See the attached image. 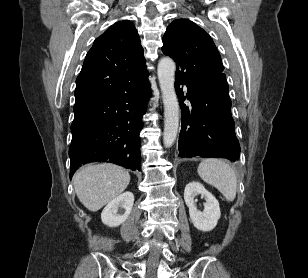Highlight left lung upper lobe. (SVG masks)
<instances>
[{"label": "left lung upper lobe", "mask_w": 308, "mask_h": 278, "mask_svg": "<svg viewBox=\"0 0 308 278\" xmlns=\"http://www.w3.org/2000/svg\"><path fill=\"white\" fill-rule=\"evenodd\" d=\"M162 41V52L177 63L175 76L186 83L223 74L224 66L213 40L192 21L174 20Z\"/></svg>", "instance_id": "1"}]
</instances>
